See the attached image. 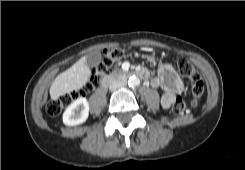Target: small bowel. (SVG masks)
Segmentation results:
<instances>
[{"label":"small bowel","instance_id":"c3829d8e","mask_svg":"<svg viewBox=\"0 0 245 170\" xmlns=\"http://www.w3.org/2000/svg\"><path fill=\"white\" fill-rule=\"evenodd\" d=\"M158 75L151 80L150 84L154 88L161 87L164 90L162 105L164 108H169L177 95V91L181 88V83L174 68L168 64L159 67Z\"/></svg>","mask_w":245,"mask_h":170}]
</instances>
